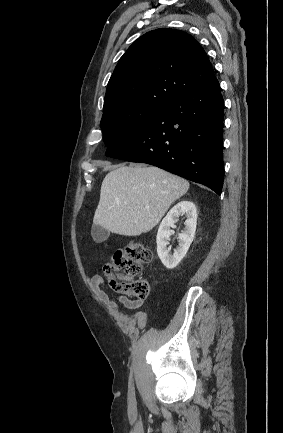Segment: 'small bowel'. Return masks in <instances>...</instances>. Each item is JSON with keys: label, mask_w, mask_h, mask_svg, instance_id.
<instances>
[{"label": "small bowel", "mask_w": 283, "mask_h": 433, "mask_svg": "<svg viewBox=\"0 0 283 433\" xmlns=\"http://www.w3.org/2000/svg\"><path fill=\"white\" fill-rule=\"evenodd\" d=\"M89 284L97 298V300L104 305L112 309L127 327L133 326L135 324H144L146 321V314L141 312L137 314L135 318H130L124 314L121 305L128 309L140 310L144 304V300L141 299H131L126 296H121L117 299L111 298L108 293L104 290V280L99 274H95L89 277Z\"/></svg>", "instance_id": "obj_1"}]
</instances>
